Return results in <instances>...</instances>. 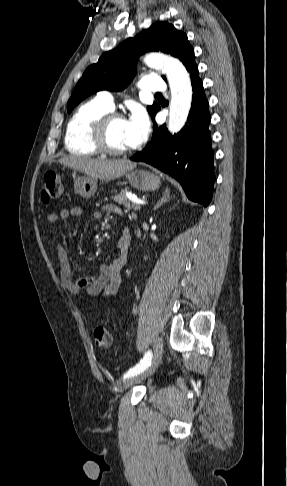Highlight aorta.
I'll use <instances>...</instances> for the list:
<instances>
[{
  "label": "aorta",
  "instance_id": "obj_1",
  "mask_svg": "<svg viewBox=\"0 0 287 486\" xmlns=\"http://www.w3.org/2000/svg\"><path fill=\"white\" fill-rule=\"evenodd\" d=\"M146 62L153 67L165 70L173 84L168 130L174 134L185 125L191 108L192 86L190 76L184 65L176 58L162 55H150Z\"/></svg>",
  "mask_w": 287,
  "mask_h": 486
}]
</instances>
